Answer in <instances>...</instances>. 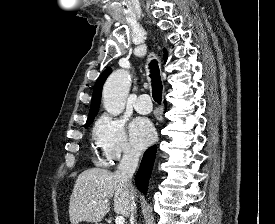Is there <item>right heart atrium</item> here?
Listing matches in <instances>:
<instances>
[{
	"label": "right heart atrium",
	"mask_w": 275,
	"mask_h": 224,
	"mask_svg": "<svg viewBox=\"0 0 275 224\" xmlns=\"http://www.w3.org/2000/svg\"><path fill=\"white\" fill-rule=\"evenodd\" d=\"M93 137L99 153L110 163L138 156L137 150L128 140L123 119L101 116L95 125Z\"/></svg>",
	"instance_id": "right-heart-atrium-1"
}]
</instances>
